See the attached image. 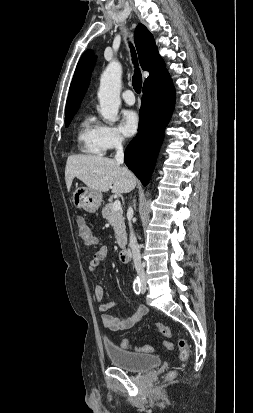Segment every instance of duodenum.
<instances>
[{
  "label": "duodenum",
  "instance_id": "duodenum-1",
  "mask_svg": "<svg viewBox=\"0 0 253 413\" xmlns=\"http://www.w3.org/2000/svg\"><path fill=\"white\" fill-rule=\"evenodd\" d=\"M130 259V252L127 248H122L119 252V260L122 263H127Z\"/></svg>",
  "mask_w": 253,
  "mask_h": 413
}]
</instances>
